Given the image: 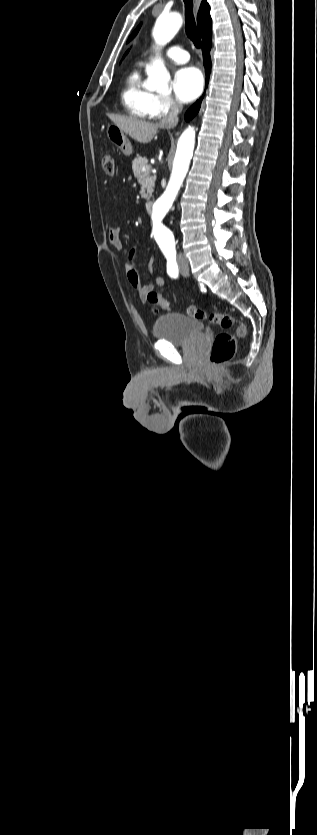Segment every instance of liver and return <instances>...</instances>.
<instances>
[{"label": "liver", "instance_id": "1", "mask_svg": "<svg viewBox=\"0 0 317 835\" xmlns=\"http://www.w3.org/2000/svg\"><path fill=\"white\" fill-rule=\"evenodd\" d=\"M109 119L120 127L126 134L139 143L147 144L152 141L159 128V124L144 120L108 114Z\"/></svg>", "mask_w": 317, "mask_h": 835}]
</instances>
